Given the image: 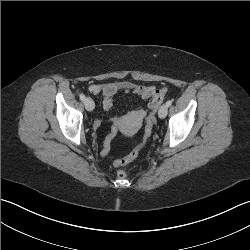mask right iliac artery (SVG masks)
Instances as JSON below:
<instances>
[{
	"instance_id": "82829eb1",
	"label": "right iliac artery",
	"mask_w": 250,
	"mask_h": 250,
	"mask_svg": "<svg viewBox=\"0 0 250 250\" xmlns=\"http://www.w3.org/2000/svg\"><path fill=\"white\" fill-rule=\"evenodd\" d=\"M79 97H80V99H81L82 101L85 100V95H84V94H80Z\"/></svg>"
}]
</instances>
